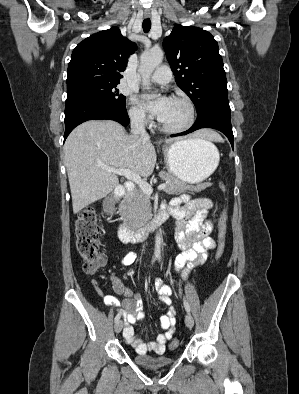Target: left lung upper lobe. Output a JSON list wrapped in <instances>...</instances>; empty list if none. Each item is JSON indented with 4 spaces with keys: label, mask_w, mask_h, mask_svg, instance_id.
I'll return each mask as SVG.
<instances>
[{
    "label": "left lung upper lobe",
    "mask_w": 299,
    "mask_h": 394,
    "mask_svg": "<svg viewBox=\"0 0 299 394\" xmlns=\"http://www.w3.org/2000/svg\"><path fill=\"white\" fill-rule=\"evenodd\" d=\"M163 48L178 87L197 111L214 99L228 98L218 43L208 31L177 24L164 39Z\"/></svg>",
    "instance_id": "1"
}]
</instances>
